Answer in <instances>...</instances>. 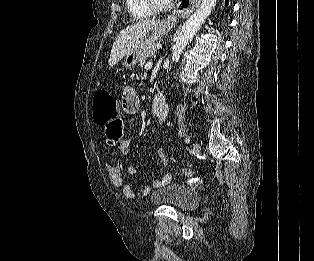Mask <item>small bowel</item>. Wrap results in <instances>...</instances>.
Segmentation results:
<instances>
[{
  "label": "small bowel",
  "mask_w": 314,
  "mask_h": 261,
  "mask_svg": "<svg viewBox=\"0 0 314 261\" xmlns=\"http://www.w3.org/2000/svg\"><path fill=\"white\" fill-rule=\"evenodd\" d=\"M121 108L128 115L135 114L139 109L138 93L131 85H126L122 91ZM164 119L165 116L159 119V122H163ZM103 130L104 133H102V140H105V144L108 145V149H119L123 155H127L129 153L131 138L124 139L125 121L122 120L121 117L118 116L115 120H105ZM158 156L161 164L166 165V155L162 148L158 150ZM107 170L113 185L119 188L126 198L132 199L145 196L149 193V186H145L142 191H135L130 183L124 181V164L121 160H118L115 164L108 165ZM126 171L132 176L139 174V169L134 166L127 167ZM171 180L172 174L170 172H166L162 177L157 178L152 182V187L160 188L161 186L168 184Z\"/></svg>",
  "instance_id": "small-bowel-1"
}]
</instances>
